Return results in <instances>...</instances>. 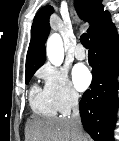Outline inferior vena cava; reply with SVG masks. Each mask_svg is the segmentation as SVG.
Masks as SVG:
<instances>
[{"instance_id":"1","label":"inferior vena cava","mask_w":119,"mask_h":141,"mask_svg":"<svg viewBox=\"0 0 119 141\" xmlns=\"http://www.w3.org/2000/svg\"><path fill=\"white\" fill-rule=\"evenodd\" d=\"M70 105L72 107V115L69 119L74 124L76 131L80 133L82 130V125L78 104V94L76 92H72L70 95Z\"/></svg>"}]
</instances>
